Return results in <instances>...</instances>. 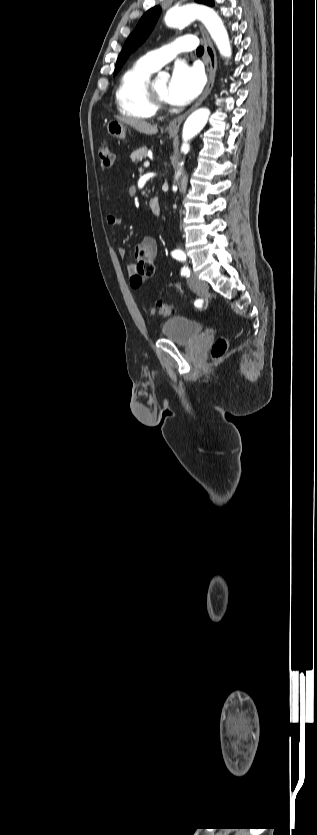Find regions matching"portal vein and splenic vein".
<instances>
[{
	"mask_svg": "<svg viewBox=\"0 0 317 835\" xmlns=\"http://www.w3.org/2000/svg\"><path fill=\"white\" fill-rule=\"evenodd\" d=\"M149 165H150V162H149V161L144 162V167H145V168L149 167Z\"/></svg>",
	"mask_w": 317,
	"mask_h": 835,
	"instance_id": "portal-vein-and-splenic-vein-1",
	"label": "portal vein and splenic vein"
}]
</instances>
